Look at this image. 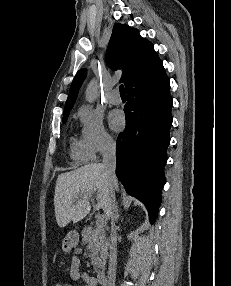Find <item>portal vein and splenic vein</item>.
<instances>
[{"instance_id": "1", "label": "portal vein and splenic vein", "mask_w": 231, "mask_h": 286, "mask_svg": "<svg viewBox=\"0 0 231 286\" xmlns=\"http://www.w3.org/2000/svg\"><path fill=\"white\" fill-rule=\"evenodd\" d=\"M106 224V218L104 215H100L98 216L97 220H96V226L98 228H103Z\"/></svg>"}]
</instances>
